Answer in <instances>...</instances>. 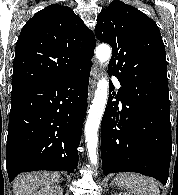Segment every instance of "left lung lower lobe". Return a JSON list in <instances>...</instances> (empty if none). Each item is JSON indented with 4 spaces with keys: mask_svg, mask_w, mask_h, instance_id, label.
I'll return each mask as SVG.
<instances>
[{
    "mask_svg": "<svg viewBox=\"0 0 178 195\" xmlns=\"http://www.w3.org/2000/svg\"><path fill=\"white\" fill-rule=\"evenodd\" d=\"M113 89V84L110 86ZM110 96L101 126L103 173L137 172L166 184L171 160L170 102L122 86Z\"/></svg>",
    "mask_w": 178,
    "mask_h": 195,
    "instance_id": "obj_1",
    "label": "left lung lower lobe"
}]
</instances>
